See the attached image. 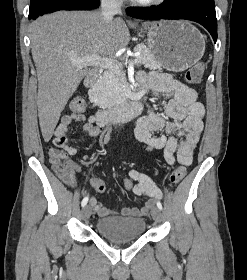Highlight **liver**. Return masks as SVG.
<instances>
[{
    "label": "liver",
    "instance_id": "obj_1",
    "mask_svg": "<svg viewBox=\"0 0 247 280\" xmlns=\"http://www.w3.org/2000/svg\"><path fill=\"white\" fill-rule=\"evenodd\" d=\"M30 40L38 77L39 123L48 142L69 99L90 71L74 61L92 55L110 57L129 43L130 33L121 18L106 23L99 11H59L33 21Z\"/></svg>",
    "mask_w": 247,
    "mask_h": 280
}]
</instances>
